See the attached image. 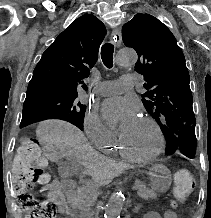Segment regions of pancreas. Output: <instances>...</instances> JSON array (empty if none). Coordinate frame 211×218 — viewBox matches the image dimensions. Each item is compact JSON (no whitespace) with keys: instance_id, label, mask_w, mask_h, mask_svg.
Here are the masks:
<instances>
[{"instance_id":"pancreas-1","label":"pancreas","mask_w":211,"mask_h":218,"mask_svg":"<svg viewBox=\"0 0 211 218\" xmlns=\"http://www.w3.org/2000/svg\"><path fill=\"white\" fill-rule=\"evenodd\" d=\"M135 188L139 198H144V200H150V198H156L155 192L146 188L142 182H136ZM72 206H76L84 216H88L91 206L94 204V200L91 197H97V192L95 188L91 186H80V190H70Z\"/></svg>"}]
</instances>
